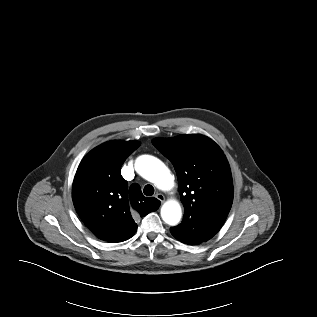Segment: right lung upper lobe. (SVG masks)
<instances>
[{
    "mask_svg": "<svg viewBox=\"0 0 317 317\" xmlns=\"http://www.w3.org/2000/svg\"><path fill=\"white\" fill-rule=\"evenodd\" d=\"M137 141H108L81 161L72 187L74 207L84 224L101 240L121 242L137 230L135 219L157 210L160 201L145 197L136 183L128 188L121 175Z\"/></svg>",
    "mask_w": 317,
    "mask_h": 317,
    "instance_id": "cb5924a9",
    "label": "right lung upper lobe"
}]
</instances>
